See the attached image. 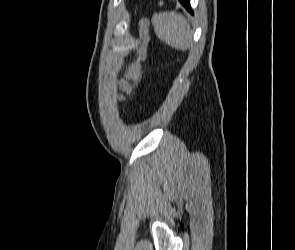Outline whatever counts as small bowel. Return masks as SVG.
<instances>
[{
  "label": "small bowel",
  "instance_id": "small-bowel-1",
  "mask_svg": "<svg viewBox=\"0 0 295 250\" xmlns=\"http://www.w3.org/2000/svg\"><path fill=\"white\" fill-rule=\"evenodd\" d=\"M121 89L125 94H129L131 92V85L128 82L123 81L121 83ZM123 98L124 97H121V99H123Z\"/></svg>",
  "mask_w": 295,
  "mask_h": 250
}]
</instances>
